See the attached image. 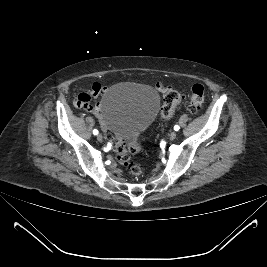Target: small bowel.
<instances>
[{
	"mask_svg": "<svg viewBox=\"0 0 267 267\" xmlns=\"http://www.w3.org/2000/svg\"><path fill=\"white\" fill-rule=\"evenodd\" d=\"M156 89L161 92H166L168 87H166L162 83L156 84ZM106 88L100 84L95 82L91 89L86 92H81L77 95L75 104L77 107L85 109L94 113L96 116H100V104H93L92 101L97 98L101 93H103Z\"/></svg>",
	"mask_w": 267,
	"mask_h": 267,
	"instance_id": "1",
	"label": "small bowel"
}]
</instances>
